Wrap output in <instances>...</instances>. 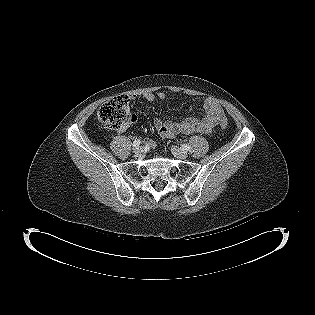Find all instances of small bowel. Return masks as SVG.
<instances>
[{"mask_svg": "<svg viewBox=\"0 0 315 315\" xmlns=\"http://www.w3.org/2000/svg\"><path fill=\"white\" fill-rule=\"evenodd\" d=\"M130 98L134 97L131 96ZM143 98L147 102H153L156 98L165 100L167 95L163 92H159L156 95L153 93H145ZM197 110L202 111L203 114L201 117L192 115L181 121L154 119V126L158 135L162 138H174L179 134L209 133L222 119H225L221 106L216 100L211 98H205L200 105L191 108L192 113H195ZM146 143L154 145L155 142L148 139Z\"/></svg>", "mask_w": 315, "mask_h": 315, "instance_id": "c3829d8e", "label": "small bowel"}]
</instances>
